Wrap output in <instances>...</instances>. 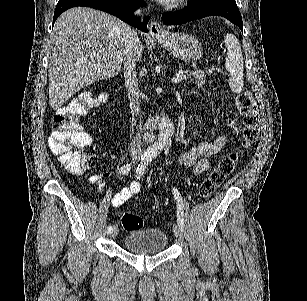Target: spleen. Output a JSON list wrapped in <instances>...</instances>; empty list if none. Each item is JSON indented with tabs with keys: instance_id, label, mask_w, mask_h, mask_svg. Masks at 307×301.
<instances>
[{
	"instance_id": "1",
	"label": "spleen",
	"mask_w": 307,
	"mask_h": 301,
	"mask_svg": "<svg viewBox=\"0 0 307 301\" xmlns=\"http://www.w3.org/2000/svg\"><path fill=\"white\" fill-rule=\"evenodd\" d=\"M224 42L227 48L225 66L229 72V86L233 92H241L243 88L244 68L240 42L235 34H225Z\"/></svg>"
}]
</instances>
